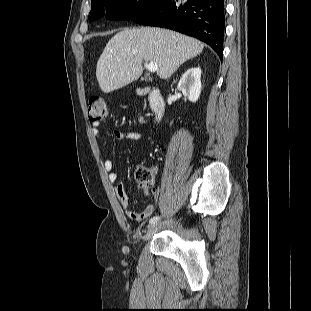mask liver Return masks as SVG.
I'll return each instance as SVG.
<instances>
[{
  "instance_id": "liver-1",
  "label": "liver",
  "mask_w": 311,
  "mask_h": 311,
  "mask_svg": "<svg viewBox=\"0 0 311 311\" xmlns=\"http://www.w3.org/2000/svg\"><path fill=\"white\" fill-rule=\"evenodd\" d=\"M203 48L199 40L168 29L126 28L104 48L97 62V81L104 93L120 89L142 75L143 61L156 63L157 75L167 79Z\"/></svg>"
}]
</instances>
